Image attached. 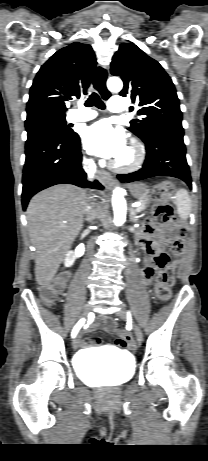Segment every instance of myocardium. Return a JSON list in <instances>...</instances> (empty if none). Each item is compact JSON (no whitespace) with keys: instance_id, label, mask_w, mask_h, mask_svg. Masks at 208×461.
I'll use <instances>...</instances> for the list:
<instances>
[{"instance_id":"f54148a6","label":"myocardium","mask_w":208,"mask_h":461,"mask_svg":"<svg viewBox=\"0 0 208 461\" xmlns=\"http://www.w3.org/2000/svg\"><path fill=\"white\" fill-rule=\"evenodd\" d=\"M127 147L131 152V159L128 162H120L117 159L112 162V168L119 172H132L139 169L145 160V149L140 141L131 138Z\"/></svg>"}]
</instances>
